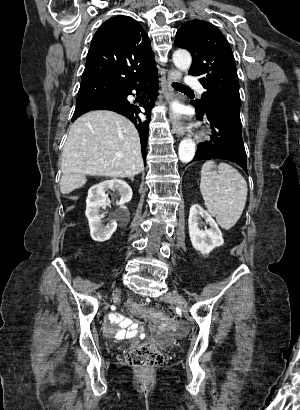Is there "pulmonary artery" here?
I'll use <instances>...</instances> for the list:
<instances>
[{"instance_id":"obj_1","label":"pulmonary artery","mask_w":300,"mask_h":410,"mask_svg":"<svg viewBox=\"0 0 300 410\" xmlns=\"http://www.w3.org/2000/svg\"><path fill=\"white\" fill-rule=\"evenodd\" d=\"M186 85L188 86V87H192V88H195V89H197V91L200 93V94H202V93H204V88L200 85V83H199V81H198V79L197 78H195V77H187L186 78Z\"/></svg>"}]
</instances>
